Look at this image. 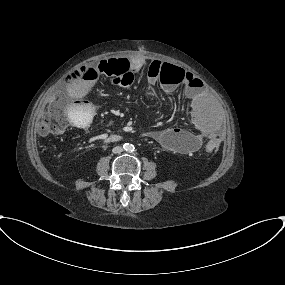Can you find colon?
Returning <instances> with one entry per match:
<instances>
[{
  "label": "colon",
  "mask_w": 285,
  "mask_h": 285,
  "mask_svg": "<svg viewBox=\"0 0 285 285\" xmlns=\"http://www.w3.org/2000/svg\"><path fill=\"white\" fill-rule=\"evenodd\" d=\"M185 71L174 66H165L158 76L164 83H178L184 77ZM107 76L116 83L129 86L135 80V70L126 59L103 60L93 66H84L75 72L77 80L93 77ZM79 119L80 127H87L92 122L93 116L83 119L77 113H73ZM69 124V112L59 98H54L47 107L46 113L38 120V133L42 136L64 132ZM220 147L218 136H210L205 140L204 150L209 153L216 152Z\"/></svg>",
  "instance_id": "5ec220e1"
}]
</instances>
